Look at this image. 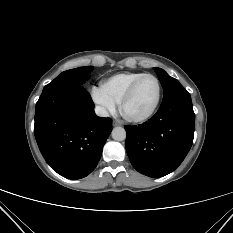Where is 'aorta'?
<instances>
[{"instance_id":"aorta-1","label":"aorta","mask_w":233,"mask_h":233,"mask_svg":"<svg viewBox=\"0 0 233 233\" xmlns=\"http://www.w3.org/2000/svg\"><path fill=\"white\" fill-rule=\"evenodd\" d=\"M112 138L117 141H123L126 139V131L123 127H115L111 132Z\"/></svg>"}]
</instances>
